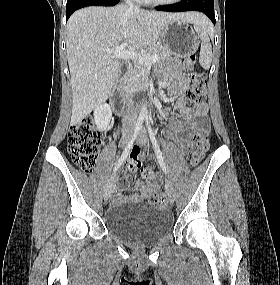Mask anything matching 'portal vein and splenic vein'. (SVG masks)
<instances>
[{"label": "portal vein and splenic vein", "instance_id": "1", "mask_svg": "<svg viewBox=\"0 0 280 285\" xmlns=\"http://www.w3.org/2000/svg\"><path fill=\"white\" fill-rule=\"evenodd\" d=\"M126 46L127 43H123L119 47H116L114 49H106L105 51L109 54H112V56L116 59L136 60L146 66H151L152 63L158 61L159 59V56L156 54L147 55L135 51H128L125 49Z\"/></svg>", "mask_w": 280, "mask_h": 285}]
</instances>
